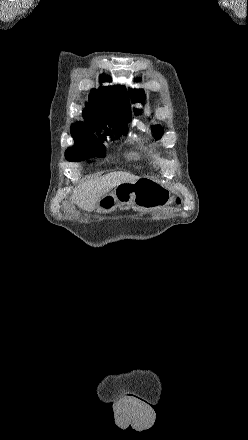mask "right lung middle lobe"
I'll return each mask as SVG.
<instances>
[{
  "instance_id": "dd1d6c3e",
  "label": "right lung middle lobe",
  "mask_w": 248,
  "mask_h": 440,
  "mask_svg": "<svg viewBox=\"0 0 248 440\" xmlns=\"http://www.w3.org/2000/svg\"><path fill=\"white\" fill-rule=\"evenodd\" d=\"M127 130L114 133L115 139H118L122 134L126 135ZM112 140L114 137L110 134ZM102 141L106 140L105 136H101ZM66 159L68 161H81L92 157H105V146L94 136L89 135L85 140L73 149L66 151Z\"/></svg>"
}]
</instances>
